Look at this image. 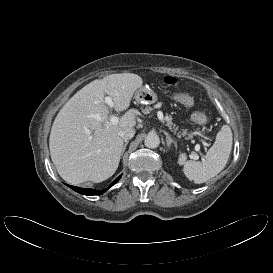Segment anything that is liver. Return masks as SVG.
I'll use <instances>...</instances> for the list:
<instances>
[{
	"label": "liver",
	"instance_id": "6515ba94",
	"mask_svg": "<svg viewBox=\"0 0 273 273\" xmlns=\"http://www.w3.org/2000/svg\"><path fill=\"white\" fill-rule=\"evenodd\" d=\"M142 84L137 74H111L84 86L61 108L51 128L49 148L65 181L99 183L115 173L124 146L119 132L134 128L138 111L131 109L117 124L110 123L105 94L112 98L116 111H123Z\"/></svg>",
	"mask_w": 273,
	"mask_h": 273
}]
</instances>
